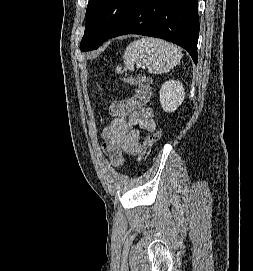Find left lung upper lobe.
<instances>
[{"label": "left lung upper lobe", "mask_w": 253, "mask_h": 271, "mask_svg": "<svg viewBox=\"0 0 253 271\" xmlns=\"http://www.w3.org/2000/svg\"><path fill=\"white\" fill-rule=\"evenodd\" d=\"M133 0H89L85 33L80 49H97L115 30L132 6Z\"/></svg>", "instance_id": "obj_1"}]
</instances>
